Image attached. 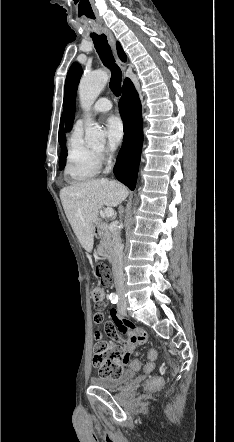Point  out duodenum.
I'll list each match as a JSON object with an SVG mask.
<instances>
[{
	"mask_svg": "<svg viewBox=\"0 0 234 442\" xmlns=\"http://www.w3.org/2000/svg\"><path fill=\"white\" fill-rule=\"evenodd\" d=\"M107 230V226L102 223V222H98L95 225L94 228V234L95 236H103L105 234ZM101 255L109 262L112 263L113 262V253L110 250V248L105 244L102 246L101 248Z\"/></svg>",
	"mask_w": 234,
	"mask_h": 442,
	"instance_id": "obj_1",
	"label": "duodenum"
}]
</instances>
